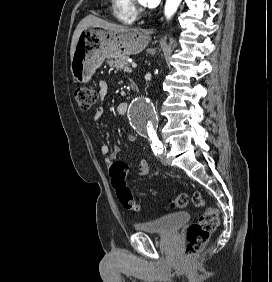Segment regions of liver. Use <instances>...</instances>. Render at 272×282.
<instances>
[{"instance_id": "6515ba94", "label": "liver", "mask_w": 272, "mask_h": 282, "mask_svg": "<svg viewBox=\"0 0 272 282\" xmlns=\"http://www.w3.org/2000/svg\"><path fill=\"white\" fill-rule=\"evenodd\" d=\"M87 27H100V28H103V29L116 31V32L125 31V30L128 29L127 27H125L123 25L111 23V22H108L106 20L95 17L93 15L86 16L84 19H82L79 22V24L77 25V27H76V29L73 33L72 41H71V48H70L71 60H72V57H73V54H74L75 46H76L77 40L79 38V35Z\"/></svg>"}]
</instances>
